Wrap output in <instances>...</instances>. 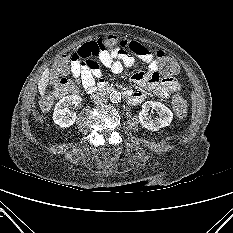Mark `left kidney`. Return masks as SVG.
Masks as SVG:
<instances>
[{
    "label": "left kidney",
    "mask_w": 233,
    "mask_h": 233,
    "mask_svg": "<svg viewBox=\"0 0 233 233\" xmlns=\"http://www.w3.org/2000/svg\"><path fill=\"white\" fill-rule=\"evenodd\" d=\"M150 109L155 110L159 114V117L155 120L148 116ZM172 119L173 113L161 102L146 101L142 105V111L139 113L140 124L151 131H158L160 128L169 126Z\"/></svg>",
    "instance_id": "left-kidney-1"
}]
</instances>
